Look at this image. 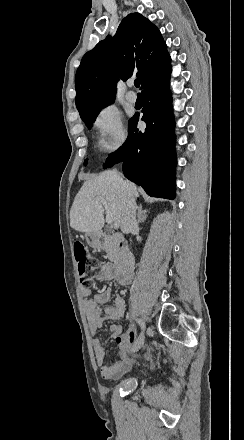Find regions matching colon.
I'll use <instances>...</instances> for the list:
<instances>
[{"instance_id": "1", "label": "colon", "mask_w": 244, "mask_h": 440, "mask_svg": "<svg viewBox=\"0 0 244 440\" xmlns=\"http://www.w3.org/2000/svg\"><path fill=\"white\" fill-rule=\"evenodd\" d=\"M73 251L77 261L80 280L89 285L93 276L92 272H98L100 263L95 257L90 256L87 249L80 242L74 244Z\"/></svg>"}]
</instances>
